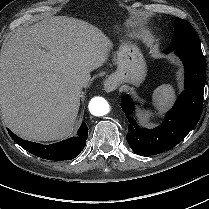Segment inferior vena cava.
I'll return each mask as SVG.
<instances>
[{"label":"inferior vena cava","instance_id":"1","mask_svg":"<svg viewBox=\"0 0 209 209\" xmlns=\"http://www.w3.org/2000/svg\"><path fill=\"white\" fill-rule=\"evenodd\" d=\"M83 87H84L83 82H77V83L75 84V89H76L77 91H79V92H81V90H82Z\"/></svg>","mask_w":209,"mask_h":209}]
</instances>
